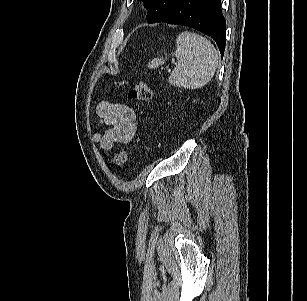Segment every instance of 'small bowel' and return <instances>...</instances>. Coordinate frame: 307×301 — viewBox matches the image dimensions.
Segmentation results:
<instances>
[{
    "instance_id": "small-bowel-1",
    "label": "small bowel",
    "mask_w": 307,
    "mask_h": 301,
    "mask_svg": "<svg viewBox=\"0 0 307 301\" xmlns=\"http://www.w3.org/2000/svg\"><path fill=\"white\" fill-rule=\"evenodd\" d=\"M101 123L109 126L95 136L103 151L110 150L116 143L125 144L133 137L137 128L135 111L122 102L101 101L97 105Z\"/></svg>"
}]
</instances>
